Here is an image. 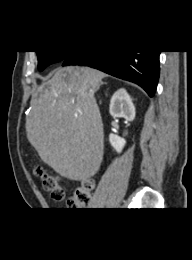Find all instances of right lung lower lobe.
I'll return each instance as SVG.
<instances>
[{
  "label": "right lung lower lobe",
  "instance_id": "obj_1",
  "mask_svg": "<svg viewBox=\"0 0 192 260\" xmlns=\"http://www.w3.org/2000/svg\"><path fill=\"white\" fill-rule=\"evenodd\" d=\"M160 51H79L72 52L63 66H90L115 77L140 85L149 96H154L159 78Z\"/></svg>",
  "mask_w": 192,
  "mask_h": 260
}]
</instances>
